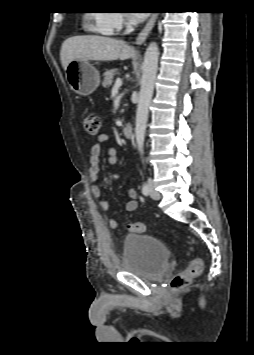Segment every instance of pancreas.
Returning a JSON list of instances; mask_svg holds the SVG:
<instances>
[{"mask_svg":"<svg viewBox=\"0 0 254 355\" xmlns=\"http://www.w3.org/2000/svg\"><path fill=\"white\" fill-rule=\"evenodd\" d=\"M116 74H117V69H111L105 71V73L103 74L104 80L102 81L103 87H110L113 83V79Z\"/></svg>","mask_w":254,"mask_h":355,"instance_id":"1","label":"pancreas"}]
</instances>
